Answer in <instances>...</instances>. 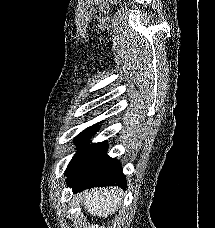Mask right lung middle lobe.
Instances as JSON below:
<instances>
[{"mask_svg": "<svg viewBox=\"0 0 215 228\" xmlns=\"http://www.w3.org/2000/svg\"><path fill=\"white\" fill-rule=\"evenodd\" d=\"M98 129V124H95L82 131L74 139L75 143L77 145H81V147L78 149L77 153L70 161L65 171L66 176L72 174L76 169H78L80 166L91 160L98 153H100L106 146H108L105 142L88 144V140L95 134L96 131H98Z\"/></svg>", "mask_w": 215, "mask_h": 228, "instance_id": "dd1d6c3e", "label": "right lung middle lobe"}]
</instances>
